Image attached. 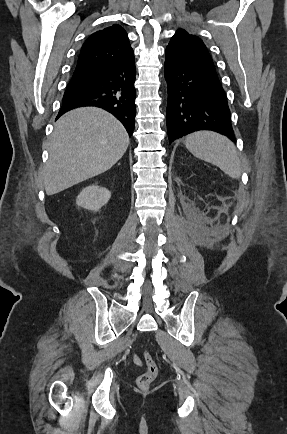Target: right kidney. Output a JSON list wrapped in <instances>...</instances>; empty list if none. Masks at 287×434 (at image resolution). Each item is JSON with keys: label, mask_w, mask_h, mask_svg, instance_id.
Here are the masks:
<instances>
[{"label": "right kidney", "mask_w": 287, "mask_h": 434, "mask_svg": "<svg viewBox=\"0 0 287 434\" xmlns=\"http://www.w3.org/2000/svg\"><path fill=\"white\" fill-rule=\"evenodd\" d=\"M110 197L111 192L108 189L93 184L85 187L80 192L76 203L85 209L97 211L109 201Z\"/></svg>", "instance_id": "ca27d5eb"}]
</instances>
